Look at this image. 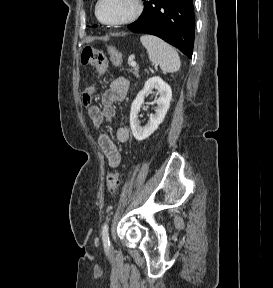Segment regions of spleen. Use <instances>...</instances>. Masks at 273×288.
Segmentation results:
<instances>
[{"label":"spleen","mask_w":273,"mask_h":288,"mask_svg":"<svg viewBox=\"0 0 273 288\" xmlns=\"http://www.w3.org/2000/svg\"><path fill=\"white\" fill-rule=\"evenodd\" d=\"M140 41L147 49L150 61L159 65L163 72L173 73L179 70V55L168 43L153 35H142Z\"/></svg>","instance_id":"spleen-1"}]
</instances>
